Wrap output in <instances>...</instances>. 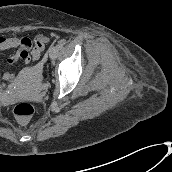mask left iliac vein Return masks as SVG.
Listing matches in <instances>:
<instances>
[{"mask_svg":"<svg viewBox=\"0 0 172 172\" xmlns=\"http://www.w3.org/2000/svg\"><path fill=\"white\" fill-rule=\"evenodd\" d=\"M59 53V49L56 46H51L49 48V56L51 59H55Z\"/></svg>","mask_w":172,"mask_h":172,"instance_id":"1","label":"left iliac vein"}]
</instances>
